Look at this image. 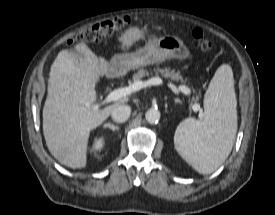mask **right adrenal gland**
<instances>
[{
    "mask_svg": "<svg viewBox=\"0 0 275 215\" xmlns=\"http://www.w3.org/2000/svg\"><path fill=\"white\" fill-rule=\"evenodd\" d=\"M104 128H109L112 131H118L120 128L111 123L104 124Z\"/></svg>",
    "mask_w": 275,
    "mask_h": 215,
    "instance_id": "right-adrenal-gland-1",
    "label": "right adrenal gland"
}]
</instances>
